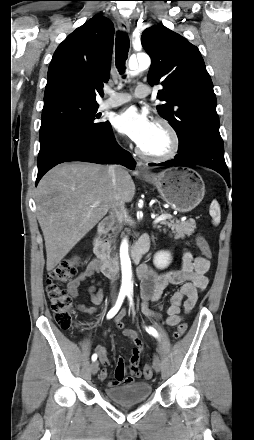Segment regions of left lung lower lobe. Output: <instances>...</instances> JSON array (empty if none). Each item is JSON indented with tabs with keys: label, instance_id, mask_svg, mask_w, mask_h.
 Listing matches in <instances>:
<instances>
[{
	"label": "left lung lower lobe",
	"instance_id": "1",
	"mask_svg": "<svg viewBox=\"0 0 254 440\" xmlns=\"http://www.w3.org/2000/svg\"><path fill=\"white\" fill-rule=\"evenodd\" d=\"M158 166H194L201 165L211 168L220 173L227 184H230L229 171L224 160V146L220 134L202 133L194 136L190 146L185 150H178L173 160Z\"/></svg>",
	"mask_w": 254,
	"mask_h": 440
}]
</instances>
